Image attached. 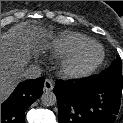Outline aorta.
<instances>
[{
    "mask_svg": "<svg viewBox=\"0 0 123 123\" xmlns=\"http://www.w3.org/2000/svg\"><path fill=\"white\" fill-rule=\"evenodd\" d=\"M41 101L44 106L49 107V106H53L56 104L57 98L53 92L45 91V92H43V94L41 96Z\"/></svg>",
    "mask_w": 123,
    "mask_h": 123,
    "instance_id": "1",
    "label": "aorta"
}]
</instances>
